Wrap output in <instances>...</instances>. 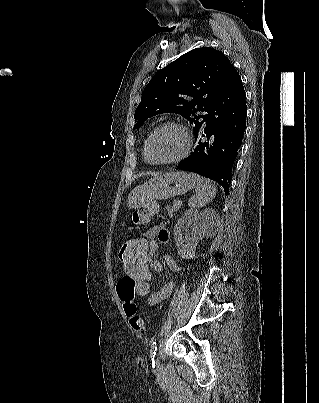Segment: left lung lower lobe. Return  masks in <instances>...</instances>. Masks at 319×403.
<instances>
[{
    "label": "left lung lower lobe",
    "instance_id": "0a47b994",
    "mask_svg": "<svg viewBox=\"0 0 319 403\" xmlns=\"http://www.w3.org/2000/svg\"><path fill=\"white\" fill-rule=\"evenodd\" d=\"M247 107L241 77L235 67L217 92L201 128L196 148L177 169L195 172L218 182L228 194L232 167L246 127Z\"/></svg>",
    "mask_w": 319,
    "mask_h": 403
}]
</instances>
